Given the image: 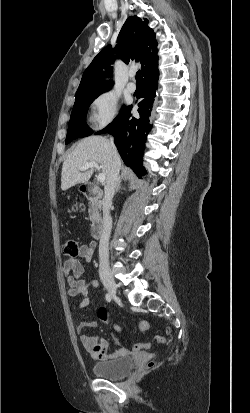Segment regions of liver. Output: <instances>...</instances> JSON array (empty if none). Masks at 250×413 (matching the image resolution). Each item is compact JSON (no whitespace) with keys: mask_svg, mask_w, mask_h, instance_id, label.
<instances>
[{"mask_svg":"<svg viewBox=\"0 0 250 413\" xmlns=\"http://www.w3.org/2000/svg\"><path fill=\"white\" fill-rule=\"evenodd\" d=\"M89 162L100 164L106 182L110 178L112 156L110 141L102 136H89L79 141L62 165L61 189H67L89 181L94 170L81 172L80 168ZM121 162V161H120Z\"/></svg>","mask_w":250,"mask_h":413,"instance_id":"1","label":"liver"}]
</instances>
